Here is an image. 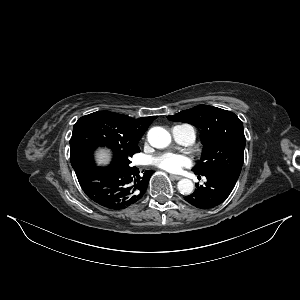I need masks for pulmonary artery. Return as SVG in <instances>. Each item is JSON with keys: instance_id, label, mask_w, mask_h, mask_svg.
<instances>
[{"instance_id": "e3ab8cb5", "label": "pulmonary artery", "mask_w": 300, "mask_h": 300, "mask_svg": "<svg viewBox=\"0 0 300 300\" xmlns=\"http://www.w3.org/2000/svg\"><path fill=\"white\" fill-rule=\"evenodd\" d=\"M174 140L180 144L189 145L195 140V131L189 125H177L172 128Z\"/></svg>"}]
</instances>
